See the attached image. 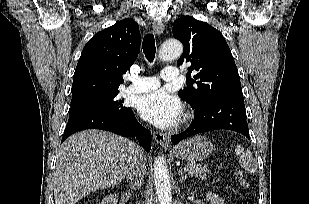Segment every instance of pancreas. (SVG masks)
Listing matches in <instances>:
<instances>
[{
	"label": "pancreas",
	"mask_w": 309,
	"mask_h": 204,
	"mask_svg": "<svg viewBox=\"0 0 309 204\" xmlns=\"http://www.w3.org/2000/svg\"><path fill=\"white\" fill-rule=\"evenodd\" d=\"M187 171H189L190 175L199 177L201 179H205L207 175L211 173L206 165L189 163L187 165Z\"/></svg>",
	"instance_id": "obj_1"
}]
</instances>
